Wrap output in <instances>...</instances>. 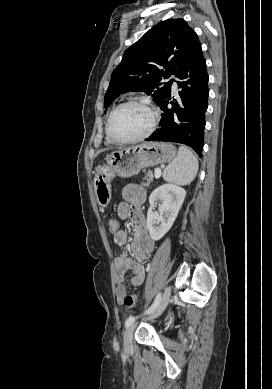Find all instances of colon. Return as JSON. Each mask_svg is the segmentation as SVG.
Listing matches in <instances>:
<instances>
[{"instance_id": "1", "label": "colon", "mask_w": 272, "mask_h": 389, "mask_svg": "<svg viewBox=\"0 0 272 389\" xmlns=\"http://www.w3.org/2000/svg\"><path fill=\"white\" fill-rule=\"evenodd\" d=\"M108 228L113 235L116 234L120 230L119 220L117 218H110L108 221ZM123 304L128 308L135 307L137 304V297L135 295H127L123 300Z\"/></svg>"}]
</instances>
